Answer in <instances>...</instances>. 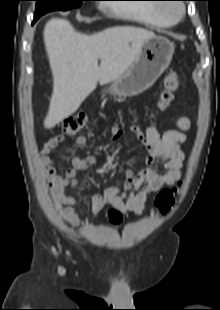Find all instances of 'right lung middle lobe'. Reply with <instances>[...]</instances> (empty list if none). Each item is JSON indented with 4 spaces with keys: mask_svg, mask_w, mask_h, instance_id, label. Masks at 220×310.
I'll return each instance as SVG.
<instances>
[{
    "mask_svg": "<svg viewBox=\"0 0 220 310\" xmlns=\"http://www.w3.org/2000/svg\"><path fill=\"white\" fill-rule=\"evenodd\" d=\"M35 15L41 17L47 12L54 10H69L79 7L82 1L86 0H36Z\"/></svg>",
    "mask_w": 220,
    "mask_h": 310,
    "instance_id": "obj_1",
    "label": "right lung middle lobe"
}]
</instances>
